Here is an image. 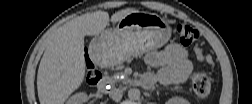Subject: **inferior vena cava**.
Segmentation results:
<instances>
[{
  "label": "inferior vena cava",
  "mask_w": 252,
  "mask_h": 104,
  "mask_svg": "<svg viewBox=\"0 0 252 104\" xmlns=\"http://www.w3.org/2000/svg\"><path fill=\"white\" fill-rule=\"evenodd\" d=\"M122 96H123V91L121 89H114L110 92V97L116 102H119Z\"/></svg>",
  "instance_id": "inferior-vena-cava-1"
}]
</instances>
